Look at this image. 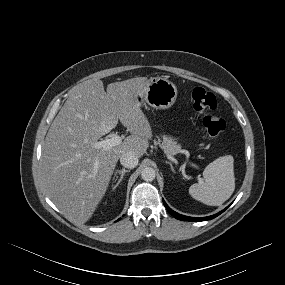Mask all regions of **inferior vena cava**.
Instances as JSON below:
<instances>
[{
	"label": "inferior vena cava",
	"mask_w": 285,
	"mask_h": 285,
	"mask_svg": "<svg viewBox=\"0 0 285 285\" xmlns=\"http://www.w3.org/2000/svg\"><path fill=\"white\" fill-rule=\"evenodd\" d=\"M138 161V157L132 152H125L120 156V162L126 168H135Z\"/></svg>",
	"instance_id": "602c4592"
}]
</instances>
